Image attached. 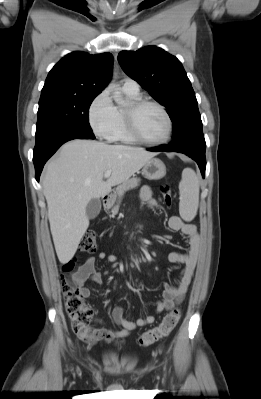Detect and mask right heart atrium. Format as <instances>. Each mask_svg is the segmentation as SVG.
<instances>
[{"label": "right heart atrium", "instance_id": "right-heart-atrium-1", "mask_svg": "<svg viewBox=\"0 0 261 399\" xmlns=\"http://www.w3.org/2000/svg\"><path fill=\"white\" fill-rule=\"evenodd\" d=\"M88 120L97 137L112 139L117 112L108 91L103 90L93 99L88 109Z\"/></svg>", "mask_w": 261, "mask_h": 399}]
</instances>
